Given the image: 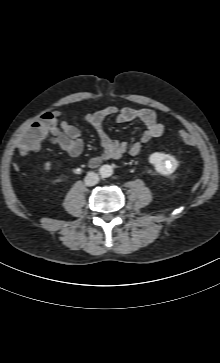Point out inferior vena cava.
Wrapping results in <instances>:
<instances>
[{
    "label": "inferior vena cava",
    "instance_id": "602c4592",
    "mask_svg": "<svg viewBox=\"0 0 220 363\" xmlns=\"http://www.w3.org/2000/svg\"><path fill=\"white\" fill-rule=\"evenodd\" d=\"M99 176L95 172H89L85 177V184L87 186H94L98 183Z\"/></svg>",
    "mask_w": 220,
    "mask_h": 363
}]
</instances>
